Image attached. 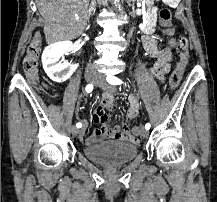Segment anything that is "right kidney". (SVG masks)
<instances>
[{
  "label": "right kidney",
  "mask_w": 217,
  "mask_h": 202,
  "mask_svg": "<svg viewBox=\"0 0 217 202\" xmlns=\"http://www.w3.org/2000/svg\"><path fill=\"white\" fill-rule=\"evenodd\" d=\"M71 46L72 42H56L47 46L42 54L43 68L54 82H65L75 70L73 64L59 62L60 58L69 52Z\"/></svg>",
  "instance_id": "1"
}]
</instances>
